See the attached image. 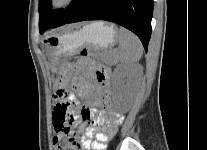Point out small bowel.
Here are the masks:
<instances>
[{
	"label": "small bowel",
	"mask_w": 207,
	"mask_h": 150,
	"mask_svg": "<svg viewBox=\"0 0 207 150\" xmlns=\"http://www.w3.org/2000/svg\"><path fill=\"white\" fill-rule=\"evenodd\" d=\"M74 71H80L82 76L76 77ZM67 78H70L75 93L85 100L79 112L75 109L70 111L71 119L75 121L81 116L83 120L94 122L95 126L87 130L82 150H105L107 141L114 136L123 121V115L112 110L109 69L91 59L81 58L74 70L67 69ZM65 81L61 82V86ZM104 107L107 111L103 110Z\"/></svg>",
	"instance_id": "c3829d8e"
}]
</instances>
